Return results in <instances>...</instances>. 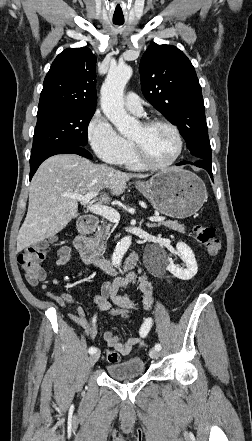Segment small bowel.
Wrapping results in <instances>:
<instances>
[{
    "label": "small bowel",
    "instance_id": "1",
    "mask_svg": "<svg viewBox=\"0 0 252 441\" xmlns=\"http://www.w3.org/2000/svg\"><path fill=\"white\" fill-rule=\"evenodd\" d=\"M71 259V253L68 248H62L59 251L57 260L58 265H65ZM136 278L134 273H130L125 277H120L112 282H105L101 286L99 294L93 297L94 304L97 309L101 311L108 310L112 306H124L133 304V301L126 295L121 294L119 291L123 287L129 285ZM139 289L144 295L143 307L150 309L153 305V288L150 281L145 276L138 277ZM48 297L60 306H66L67 304H74L76 299L69 293L54 294L49 293ZM69 318L79 327L83 328L88 337L92 338L96 335L97 330L94 324L90 323L85 311L82 307H77L73 313H70ZM103 340L108 347L113 348L121 355H127L135 347H142L143 340L140 337H130L125 341H121L113 332L106 331L103 335Z\"/></svg>",
    "mask_w": 252,
    "mask_h": 441
}]
</instances>
